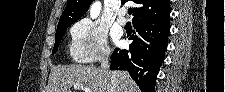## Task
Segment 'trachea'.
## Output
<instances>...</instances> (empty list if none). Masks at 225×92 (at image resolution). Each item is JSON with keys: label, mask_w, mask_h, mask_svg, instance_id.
I'll return each mask as SVG.
<instances>
[{"label": "trachea", "mask_w": 225, "mask_h": 92, "mask_svg": "<svg viewBox=\"0 0 225 92\" xmlns=\"http://www.w3.org/2000/svg\"><path fill=\"white\" fill-rule=\"evenodd\" d=\"M132 12H133V9H132V8H129V9H128V14L131 15Z\"/></svg>", "instance_id": "1"}]
</instances>
